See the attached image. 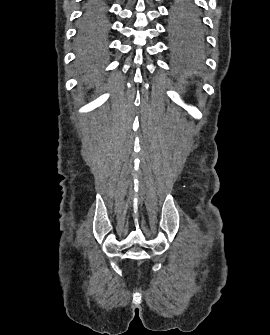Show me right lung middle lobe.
I'll return each instance as SVG.
<instances>
[{"mask_svg": "<svg viewBox=\"0 0 270 335\" xmlns=\"http://www.w3.org/2000/svg\"><path fill=\"white\" fill-rule=\"evenodd\" d=\"M84 8V14L80 23V36L90 40L105 25L103 15L105 14L104 0H89Z\"/></svg>", "mask_w": 270, "mask_h": 335, "instance_id": "obj_1", "label": "right lung middle lobe"}]
</instances>
